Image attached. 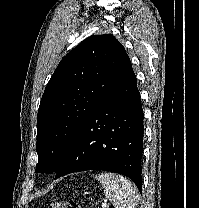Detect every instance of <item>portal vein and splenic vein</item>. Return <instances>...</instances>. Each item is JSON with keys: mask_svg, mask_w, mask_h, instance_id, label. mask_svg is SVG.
<instances>
[{"mask_svg": "<svg viewBox=\"0 0 199 208\" xmlns=\"http://www.w3.org/2000/svg\"><path fill=\"white\" fill-rule=\"evenodd\" d=\"M102 208H107L108 207V204H107V201L104 200L101 204Z\"/></svg>", "mask_w": 199, "mask_h": 208, "instance_id": "obj_1", "label": "portal vein and splenic vein"}]
</instances>
